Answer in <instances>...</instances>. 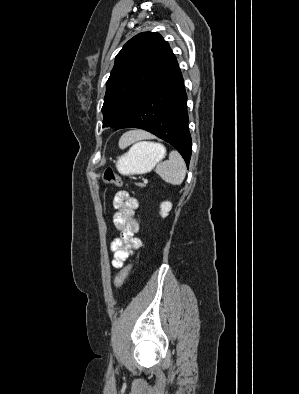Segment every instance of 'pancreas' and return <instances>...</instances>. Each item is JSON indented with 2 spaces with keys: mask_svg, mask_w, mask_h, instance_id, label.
<instances>
[{
  "mask_svg": "<svg viewBox=\"0 0 299 394\" xmlns=\"http://www.w3.org/2000/svg\"><path fill=\"white\" fill-rule=\"evenodd\" d=\"M137 185L140 186V187H144L145 186V184H142V183H138Z\"/></svg>",
  "mask_w": 299,
  "mask_h": 394,
  "instance_id": "cf45deb5",
  "label": "pancreas"
}]
</instances>
